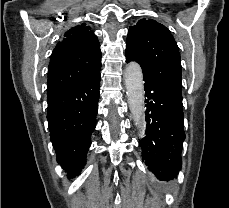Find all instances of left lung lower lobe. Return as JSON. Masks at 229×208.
I'll return each instance as SVG.
<instances>
[{"label": "left lung lower lobe", "mask_w": 229, "mask_h": 208, "mask_svg": "<svg viewBox=\"0 0 229 208\" xmlns=\"http://www.w3.org/2000/svg\"><path fill=\"white\" fill-rule=\"evenodd\" d=\"M146 136L140 141L142 160L160 181L173 180L181 169L185 139L182 101L144 83Z\"/></svg>", "instance_id": "obj_1"}]
</instances>
